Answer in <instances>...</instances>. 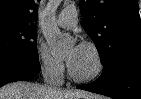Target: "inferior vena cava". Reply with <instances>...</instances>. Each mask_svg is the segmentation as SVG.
I'll list each match as a JSON object with an SVG mask.
<instances>
[{"label": "inferior vena cava", "instance_id": "602c4592", "mask_svg": "<svg viewBox=\"0 0 141 99\" xmlns=\"http://www.w3.org/2000/svg\"><path fill=\"white\" fill-rule=\"evenodd\" d=\"M44 82L46 83L45 86L52 87L50 80L48 79V71L45 72Z\"/></svg>", "mask_w": 141, "mask_h": 99}]
</instances>
